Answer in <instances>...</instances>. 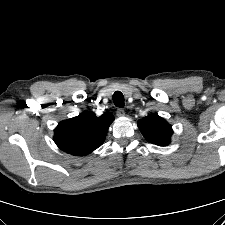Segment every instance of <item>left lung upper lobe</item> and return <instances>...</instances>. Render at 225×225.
Instances as JSON below:
<instances>
[{
  "mask_svg": "<svg viewBox=\"0 0 225 225\" xmlns=\"http://www.w3.org/2000/svg\"><path fill=\"white\" fill-rule=\"evenodd\" d=\"M138 127L146 140L157 145H167L172 135V128L158 114H151L138 122Z\"/></svg>",
  "mask_w": 225,
  "mask_h": 225,
  "instance_id": "5c2ea615",
  "label": "left lung upper lobe"
}]
</instances>
